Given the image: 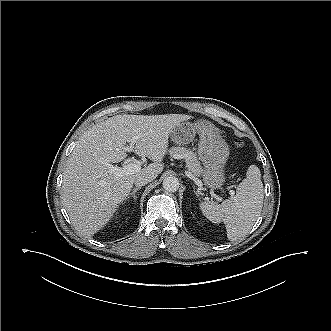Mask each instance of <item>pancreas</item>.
<instances>
[{
	"label": "pancreas",
	"instance_id": "pancreas-1",
	"mask_svg": "<svg viewBox=\"0 0 331 331\" xmlns=\"http://www.w3.org/2000/svg\"><path fill=\"white\" fill-rule=\"evenodd\" d=\"M170 154L175 156V158L179 155L180 157L178 159H184L186 166L195 176L201 175L202 169L193 152L188 151L185 148L175 147L170 149Z\"/></svg>",
	"mask_w": 331,
	"mask_h": 331
}]
</instances>
